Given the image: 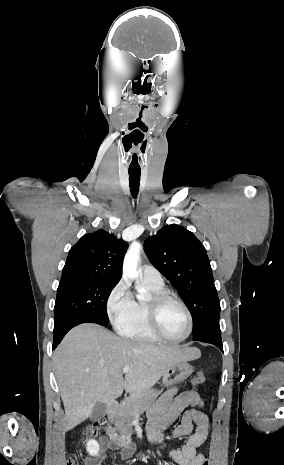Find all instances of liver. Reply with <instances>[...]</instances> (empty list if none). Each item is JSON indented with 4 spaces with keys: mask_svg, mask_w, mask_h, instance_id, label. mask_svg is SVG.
<instances>
[{
    "mask_svg": "<svg viewBox=\"0 0 284 465\" xmlns=\"http://www.w3.org/2000/svg\"><path fill=\"white\" fill-rule=\"evenodd\" d=\"M196 347L151 345L116 337L84 323L67 333L53 361L65 409L66 431L90 417L96 403H111L127 393L146 391L181 361L200 359ZM123 367H130L123 377Z\"/></svg>",
    "mask_w": 284,
    "mask_h": 465,
    "instance_id": "liver-1",
    "label": "liver"
}]
</instances>
